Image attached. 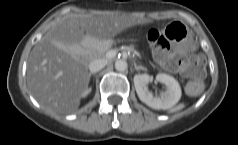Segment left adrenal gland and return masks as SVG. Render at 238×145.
Segmentation results:
<instances>
[{
  "instance_id": "left-adrenal-gland-1",
  "label": "left adrenal gland",
  "mask_w": 238,
  "mask_h": 145,
  "mask_svg": "<svg viewBox=\"0 0 238 145\" xmlns=\"http://www.w3.org/2000/svg\"><path fill=\"white\" fill-rule=\"evenodd\" d=\"M134 68H135V70H144V71H146L147 69L145 68V67H143V66H141V65H136V64H134Z\"/></svg>"
}]
</instances>
